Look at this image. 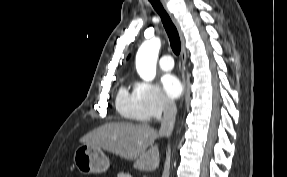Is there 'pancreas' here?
Wrapping results in <instances>:
<instances>
[{"label":"pancreas","mask_w":287,"mask_h":177,"mask_svg":"<svg viewBox=\"0 0 287 177\" xmlns=\"http://www.w3.org/2000/svg\"><path fill=\"white\" fill-rule=\"evenodd\" d=\"M117 177H132L130 173L121 172L117 175Z\"/></svg>","instance_id":"1"}]
</instances>
